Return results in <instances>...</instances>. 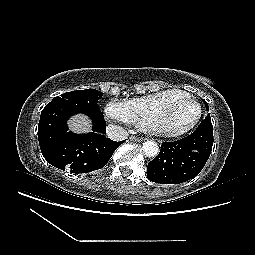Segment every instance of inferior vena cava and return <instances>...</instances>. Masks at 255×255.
Instances as JSON below:
<instances>
[{
    "instance_id": "1",
    "label": "inferior vena cava",
    "mask_w": 255,
    "mask_h": 255,
    "mask_svg": "<svg viewBox=\"0 0 255 255\" xmlns=\"http://www.w3.org/2000/svg\"><path fill=\"white\" fill-rule=\"evenodd\" d=\"M107 136L113 141H122L128 137V132L121 126L110 124L107 126Z\"/></svg>"
}]
</instances>
